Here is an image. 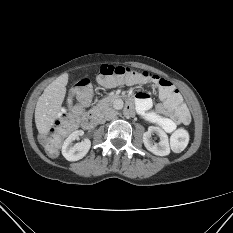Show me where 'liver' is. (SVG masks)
<instances>
[{
    "label": "liver",
    "instance_id": "obj_1",
    "mask_svg": "<svg viewBox=\"0 0 233 233\" xmlns=\"http://www.w3.org/2000/svg\"><path fill=\"white\" fill-rule=\"evenodd\" d=\"M67 83L68 74L64 73L50 83L38 98L35 108V123L40 134L47 135L54 125L64 101Z\"/></svg>",
    "mask_w": 233,
    "mask_h": 233
}]
</instances>
